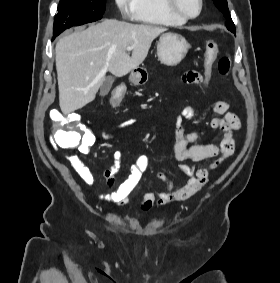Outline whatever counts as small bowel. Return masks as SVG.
<instances>
[{"instance_id":"1","label":"small bowel","mask_w":280,"mask_h":283,"mask_svg":"<svg viewBox=\"0 0 280 283\" xmlns=\"http://www.w3.org/2000/svg\"><path fill=\"white\" fill-rule=\"evenodd\" d=\"M201 76L194 72H189L185 79L190 83L202 86ZM209 86V82L207 86ZM215 114L220 115L212 119L211 127L221 132V140L218 143L198 144L199 133L185 132L179 124L180 118H195L196 113L191 108H184L179 115L176 116L177 122L176 141L173 146V154L179 162V168L188 176V180L183 185H176L165 172H158L156 177L158 180L166 184L164 190L156 192L147 191L143 194L142 201L138 205L143 212L150 211L154 207H161L172 201L186 200L195 195L208 182L209 172L217 168L223 161L229 158L235 149L234 132L241 128L239 117L229 111V106L225 102H216L212 106ZM135 119H129L123 122L119 128H125L132 125ZM106 138L113 137V134L105 135ZM96 142V136L88 131L81 132V141L77 146V150L81 155H88L91 147ZM120 152L114 153L115 162L102 173L109 187L115 185V175L119 171ZM192 160L194 162H202L211 160L207 165L198 168L191 167L184 162ZM68 161L73 170L87 185L95 183V177L89 167L77 155H70ZM149 157L145 154L138 155L135 162L130 167L129 176L112 192L102 196L105 201L113 202L121 206L129 205L131 202V193L139 183L142 174L149 165Z\"/></svg>"}]
</instances>
